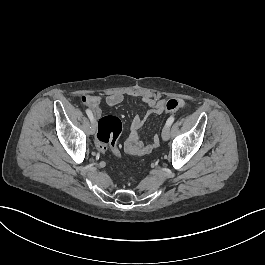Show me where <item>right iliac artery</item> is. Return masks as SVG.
<instances>
[{"label":"right iliac artery","instance_id":"right-iliac-artery-1","mask_svg":"<svg viewBox=\"0 0 265 265\" xmlns=\"http://www.w3.org/2000/svg\"><path fill=\"white\" fill-rule=\"evenodd\" d=\"M86 114L89 117L90 121H94V116L92 114V111L90 109H86Z\"/></svg>","mask_w":265,"mask_h":265}]
</instances>
